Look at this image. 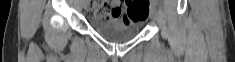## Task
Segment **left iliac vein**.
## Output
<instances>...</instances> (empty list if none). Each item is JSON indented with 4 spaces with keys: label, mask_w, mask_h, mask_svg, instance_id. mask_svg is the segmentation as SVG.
Instances as JSON below:
<instances>
[{
    "label": "left iliac vein",
    "mask_w": 235,
    "mask_h": 62,
    "mask_svg": "<svg viewBox=\"0 0 235 62\" xmlns=\"http://www.w3.org/2000/svg\"><path fill=\"white\" fill-rule=\"evenodd\" d=\"M150 18L152 21L156 20V7H155V5H152L150 8Z\"/></svg>",
    "instance_id": "obj_1"
}]
</instances>
